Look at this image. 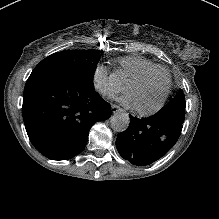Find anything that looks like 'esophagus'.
I'll return each instance as SVG.
<instances>
[{"label": "esophagus", "mask_w": 219, "mask_h": 219, "mask_svg": "<svg viewBox=\"0 0 219 219\" xmlns=\"http://www.w3.org/2000/svg\"><path fill=\"white\" fill-rule=\"evenodd\" d=\"M121 110V108L118 106V105H115V104H112L111 105V111L113 112V113H116V112H118V111H120Z\"/></svg>", "instance_id": "34e87169"}]
</instances>
